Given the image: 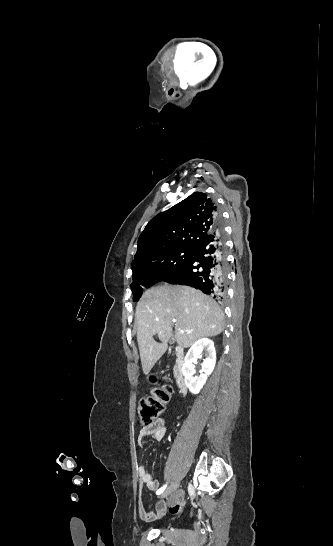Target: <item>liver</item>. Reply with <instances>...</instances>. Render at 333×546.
Masks as SVG:
<instances>
[{
	"mask_svg": "<svg viewBox=\"0 0 333 546\" xmlns=\"http://www.w3.org/2000/svg\"><path fill=\"white\" fill-rule=\"evenodd\" d=\"M135 316L145 375L166 352L173 319H176L174 341L184 348L203 337L217 336L224 329V313L219 305L201 291L181 285L164 284L145 291L137 303ZM156 334L161 343L153 339Z\"/></svg>",
	"mask_w": 333,
	"mask_h": 546,
	"instance_id": "liver-1",
	"label": "liver"
}]
</instances>
